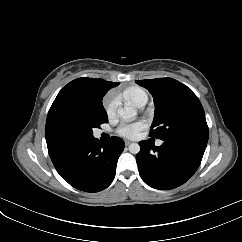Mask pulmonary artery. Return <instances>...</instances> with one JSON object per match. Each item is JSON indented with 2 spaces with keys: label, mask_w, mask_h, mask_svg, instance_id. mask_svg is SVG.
<instances>
[{
  "label": "pulmonary artery",
  "mask_w": 242,
  "mask_h": 242,
  "mask_svg": "<svg viewBox=\"0 0 242 242\" xmlns=\"http://www.w3.org/2000/svg\"><path fill=\"white\" fill-rule=\"evenodd\" d=\"M145 104H141L139 107H143ZM163 144V141L162 140H158L157 142H156V145L157 146H161Z\"/></svg>",
  "instance_id": "pulmonary-artery-1"
}]
</instances>
